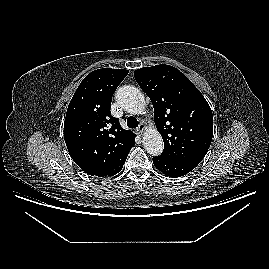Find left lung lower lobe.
Masks as SVG:
<instances>
[{
	"mask_svg": "<svg viewBox=\"0 0 269 269\" xmlns=\"http://www.w3.org/2000/svg\"><path fill=\"white\" fill-rule=\"evenodd\" d=\"M153 163L155 167L163 174L175 178L186 175L197 166V164L194 163L177 162L166 159L162 156L154 157Z\"/></svg>",
	"mask_w": 269,
	"mask_h": 269,
	"instance_id": "1",
	"label": "left lung lower lobe"
}]
</instances>
